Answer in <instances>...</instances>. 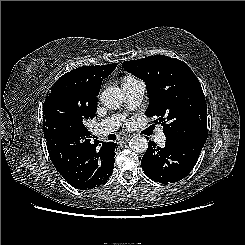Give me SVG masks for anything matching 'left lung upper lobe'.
I'll list each match as a JSON object with an SVG mask.
<instances>
[{"mask_svg": "<svg viewBox=\"0 0 245 245\" xmlns=\"http://www.w3.org/2000/svg\"><path fill=\"white\" fill-rule=\"evenodd\" d=\"M125 70L146 83L148 117L164 127L167 139H207V105L202 87L189 68L164 55L123 62Z\"/></svg>", "mask_w": 245, "mask_h": 245, "instance_id": "5c2ea615", "label": "left lung upper lobe"}]
</instances>
